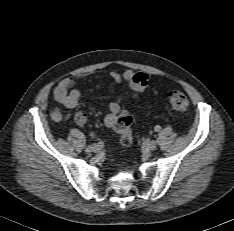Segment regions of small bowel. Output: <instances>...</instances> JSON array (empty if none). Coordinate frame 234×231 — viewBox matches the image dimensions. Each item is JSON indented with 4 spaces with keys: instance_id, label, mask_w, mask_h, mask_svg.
I'll list each match as a JSON object with an SVG mask.
<instances>
[{
    "instance_id": "c3829d8e",
    "label": "small bowel",
    "mask_w": 234,
    "mask_h": 231,
    "mask_svg": "<svg viewBox=\"0 0 234 231\" xmlns=\"http://www.w3.org/2000/svg\"><path fill=\"white\" fill-rule=\"evenodd\" d=\"M93 74L94 73H83L62 79L54 89V98L56 102L66 108L76 107L81 101V93L76 88V85L81 80H84ZM109 75L116 83H121L124 79L130 80L133 76L131 71H126L124 73L111 71ZM122 99L123 96L121 95L110 103L109 112L104 118V123L107 127H113L115 125L121 110ZM51 118L54 121L61 120L62 114L59 108L52 109ZM74 120L78 125H83L86 122V115L79 111L75 113Z\"/></svg>"
}]
</instances>
